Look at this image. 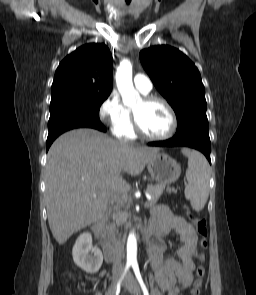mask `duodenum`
<instances>
[{
    "label": "duodenum",
    "mask_w": 256,
    "mask_h": 295,
    "mask_svg": "<svg viewBox=\"0 0 256 295\" xmlns=\"http://www.w3.org/2000/svg\"><path fill=\"white\" fill-rule=\"evenodd\" d=\"M103 228H104L103 221H98L97 223H95L93 225L91 231H92L93 235L95 236V238L97 239V241L101 243L104 253H105V256H106V260L111 262V261L115 260L117 257H119V254H117V252L112 247V245L107 243L105 241V239L103 238ZM148 231H149V229H148ZM145 235H146V233H145Z\"/></svg>",
    "instance_id": "410a0bca"
}]
</instances>
